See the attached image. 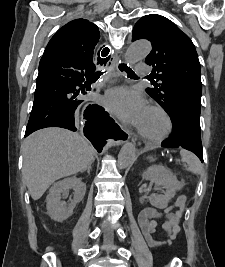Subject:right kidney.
Returning a JSON list of instances; mask_svg holds the SVG:
<instances>
[{
	"instance_id": "obj_1",
	"label": "right kidney",
	"mask_w": 225,
	"mask_h": 267,
	"mask_svg": "<svg viewBox=\"0 0 225 267\" xmlns=\"http://www.w3.org/2000/svg\"><path fill=\"white\" fill-rule=\"evenodd\" d=\"M70 189L74 190L73 199L66 206V203L61 200V195L67 193ZM85 193V183L75 176L65 178L53 184L47 196V212L51 219L58 222L67 220L73 214L76 204L84 198Z\"/></svg>"
}]
</instances>
